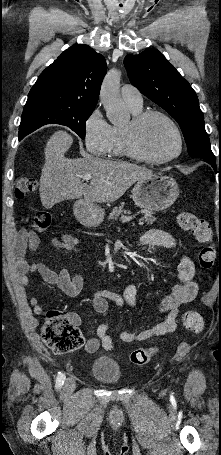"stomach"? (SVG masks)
I'll list each match as a JSON object with an SVG mask.
<instances>
[{"mask_svg": "<svg viewBox=\"0 0 221 455\" xmlns=\"http://www.w3.org/2000/svg\"><path fill=\"white\" fill-rule=\"evenodd\" d=\"M179 193L178 183L174 178L153 174L137 181L132 190V198L138 207L146 211H162L174 204ZM74 213L84 225L97 226L103 221L105 210L80 200L74 205Z\"/></svg>", "mask_w": 221, "mask_h": 455, "instance_id": "0dacf381", "label": "stomach"}]
</instances>
